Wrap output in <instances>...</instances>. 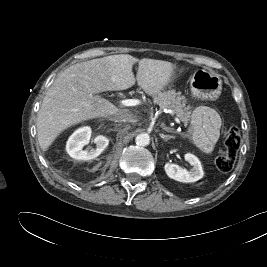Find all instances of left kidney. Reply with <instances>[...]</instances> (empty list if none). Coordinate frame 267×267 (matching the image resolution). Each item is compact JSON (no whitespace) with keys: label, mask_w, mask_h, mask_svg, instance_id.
Segmentation results:
<instances>
[{"label":"left kidney","mask_w":267,"mask_h":267,"mask_svg":"<svg viewBox=\"0 0 267 267\" xmlns=\"http://www.w3.org/2000/svg\"><path fill=\"white\" fill-rule=\"evenodd\" d=\"M184 158L193 166L192 169L188 171L177 164L166 163L164 169L168 177L183 183H191L200 180L204 172L199 159L191 153H186Z\"/></svg>","instance_id":"5707ae66"}]
</instances>
